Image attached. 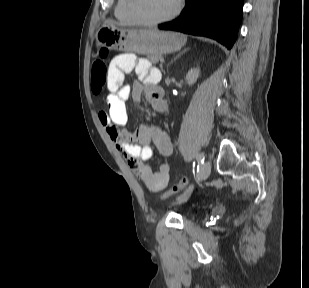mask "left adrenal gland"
Returning <instances> with one entry per match:
<instances>
[{"instance_id": "1", "label": "left adrenal gland", "mask_w": 309, "mask_h": 288, "mask_svg": "<svg viewBox=\"0 0 309 288\" xmlns=\"http://www.w3.org/2000/svg\"><path fill=\"white\" fill-rule=\"evenodd\" d=\"M189 49H184L182 52H180L177 56H176V58L174 59V60H176L178 57H180L183 53H185L186 51H188ZM173 61H171V63H172Z\"/></svg>"}]
</instances>
